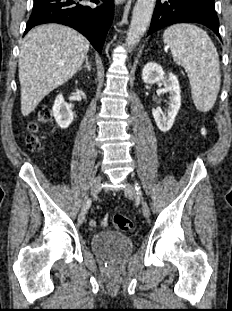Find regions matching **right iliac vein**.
I'll return each instance as SVG.
<instances>
[{"mask_svg": "<svg viewBox=\"0 0 232 311\" xmlns=\"http://www.w3.org/2000/svg\"><path fill=\"white\" fill-rule=\"evenodd\" d=\"M101 181H102V177H101L100 175H98V176L94 179V181H93V183H92V185H91V189H90V194H91L92 196H94V195H96V194L98 193V191H99V189H100ZM85 218H86V211L83 210V211L79 214V216H78V221H79L80 223H83L84 220H85Z\"/></svg>", "mask_w": 232, "mask_h": 311, "instance_id": "right-iliac-vein-1", "label": "right iliac vein"}]
</instances>
